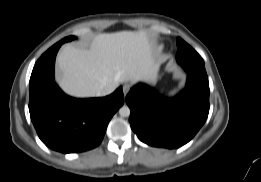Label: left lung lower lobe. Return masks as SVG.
<instances>
[{
    "instance_id": "0a47b994",
    "label": "left lung lower lobe",
    "mask_w": 261,
    "mask_h": 182,
    "mask_svg": "<svg viewBox=\"0 0 261 182\" xmlns=\"http://www.w3.org/2000/svg\"><path fill=\"white\" fill-rule=\"evenodd\" d=\"M188 74L186 87L165 98L144 84L126 96L129 122L138 138L155 147L179 148L189 142L209 113V82L204 61H177Z\"/></svg>"
}]
</instances>
